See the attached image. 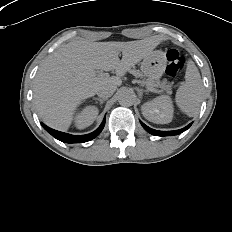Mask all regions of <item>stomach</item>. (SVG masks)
<instances>
[{
  "label": "stomach",
  "mask_w": 232,
  "mask_h": 232,
  "mask_svg": "<svg viewBox=\"0 0 232 232\" xmlns=\"http://www.w3.org/2000/svg\"><path fill=\"white\" fill-rule=\"evenodd\" d=\"M166 67V57L161 52H151L147 55L142 63L144 75L162 72Z\"/></svg>",
  "instance_id": "stomach-1"
}]
</instances>
